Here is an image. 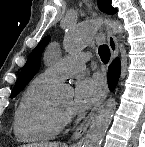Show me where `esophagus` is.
Masks as SVG:
<instances>
[{"label":"esophagus","instance_id":"34e87169","mask_svg":"<svg viewBox=\"0 0 145 147\" xmlns=\"http://www.w3.org/2000/svg\"><path fill=\"white\" fill-rule=\"evenodd\" d=\"M106 34H107L108 46L110 48V52H111V56H112V60H113L118 55L117 40H116V37H115L114 33L112 32V30L108 29ZM108 94H109V88H108V86H106L104 88V91H103L102 95L97 100L94 107L92 108L90 113L87 115V117L85 118L83 123L73 133V135H72L73 140L80 139L86 133L94 114L96 113V111L98 110L100 105L104 102V100L107 98Z\"/></svg>","mask_w":145,"mask_h":147}]
</instances>
